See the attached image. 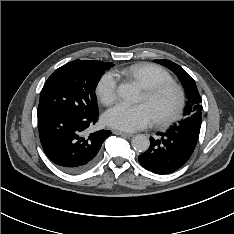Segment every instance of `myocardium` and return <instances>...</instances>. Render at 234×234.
<instances>
[{
	"instance_id": "obj_1",
	"label": "myocardium",
	"mask_w": 234,
	"mask_h": 234,
	"mask_svg": "<svg viewBox=\"0 0 234 234\" xmlns=\"http://www.w3.org/2000/svg\"><path fill=\"white\" fill-rule=\"evenodd\" d=\"M165 91H173L176 99L173 107L164 115L154 118L157 125H167L173 122L182 111L185 103V94L180 85L175 82H161L144 89V95L147 101L155 99Z\"/></svg>"
}]
</instances>
